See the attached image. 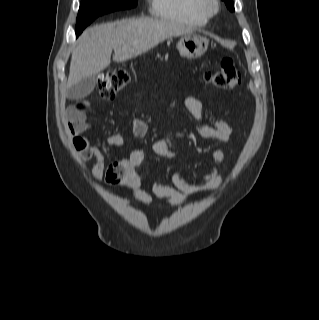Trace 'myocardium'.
Masks as SVG:
<instances>
[{
    "label": "myocardium",
    "mask_w": 319,
    "mask_h": 320,
    "mask_svg": "<svg viewBox=\"0 0 319 320\" xmlns=\"http://www.w3.org/2000/svg\"><path fill=\"white\" fill-rule=\"evenodd\" d=\"M200 8L208 18H211L219 12L220 2L219 0H200Z\"/></svg>",
    "instance_id": "obj_1"
}]
</instances>
